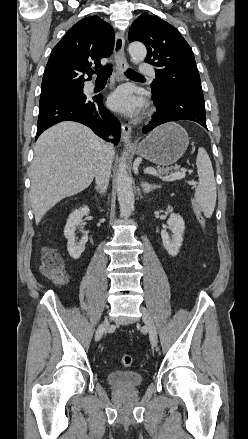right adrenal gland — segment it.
Instances as JSON below:
<instances>
[{
    "mask_svg": "<svg viewBox=\"0 0 248 439\" xmlns=\"http://www.w3.org/2000/svg\"><path fill=\"white\" fill-rule=\"evenodd\" d=\"M95 189L98 191V187H95Z\"/></svg>",
    "mask_w": 248,
    "mask_h": 439,
    "instance_id": "right-adrenal-gland-1",
    "label": "right adrenal gland"
}]
</instances>
